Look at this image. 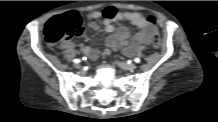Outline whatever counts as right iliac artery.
I'll list each match as a JSON object with an SVG mask.
<instances>
[{"label":"right iliac artery","mask_w":218,"mask_h":122,"mask_svg":"<svg viewBox=\"0 0 218 122\" xmlns=\"http://www.w3.org/2000/svg\"><path fill=\"white\" fill-rule=\"evenodd\" d=\"M73 62H74V63H79L80 60H79V59H74Z\"/></svg>","instance_id":"1"}]
</instances>
